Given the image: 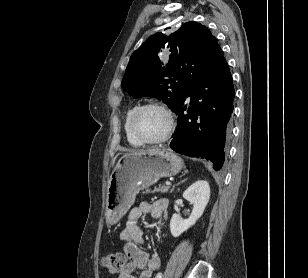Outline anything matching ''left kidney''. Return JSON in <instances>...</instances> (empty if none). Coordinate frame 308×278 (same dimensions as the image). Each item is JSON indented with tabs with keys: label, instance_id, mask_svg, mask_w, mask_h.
Segmentation results:
<instances>
[{
	"label": "left kidney",
	"instance_id": "left-kidney-1",
	"mask_svg": "<svg viewBox=\"0 0 308 278\" xmlns=\"http://www.w3.org/2000/svg\"><path fill=\"white\" fill-rule=\"evenodd\" d=\"M183 197L193 205V210L187 220H183L178 214H173L170 221V231L173 237H179L202 216L210 199L208 182L196 181L183 193Z\"/></svg>",
	"mask_w": 308,
	"mask_h": 278
}]
</instances>
